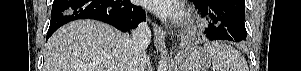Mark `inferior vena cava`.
<instances>
[{"instance_id": "obj_1", "label": "inferior vena cava", "mask_w": 301, "mask_h": 71, "mask_svg": "<svg viewBox=\"0 0 301 71\" xmlns=\"http://www.w3.org/2000/svg\"><path fill=\"white\" fill-rule=\"evenodd\" d=\"M151 31L147 22H141L131 31L130 44L131 52L129 54L125 71H144L145 50L150 44Z\"/></svg>"}]
</instances>
